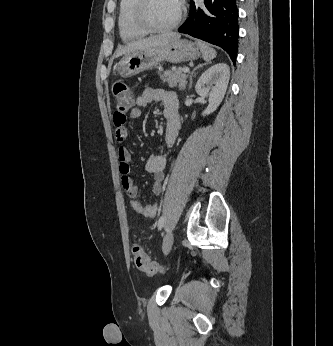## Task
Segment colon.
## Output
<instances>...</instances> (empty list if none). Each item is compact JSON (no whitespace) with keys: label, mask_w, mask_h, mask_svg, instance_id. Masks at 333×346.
I'll return each instance as SVG.
<instances>
[{"label":"colon","mask_w":333,"mask_h":346,"mask_svg":"<svg viewBox=\"0 0 333 346\" xmlns=\"http://www.w3.org/2000/svg\"><path fill=\"white\" fill-rule=\"evenodd\" d=\"M112 92L117 106L114 117L120 116L126 120L125 114L133 104L132 94L128 86L120 81L113 84ZM132 255L134 264L138 270L147 274H156L161 271V267L156 262L150 260L143 247L139 244H135L132 247Z\"/></svg>","instance_id":"5ec220e1"}]
</instances>
